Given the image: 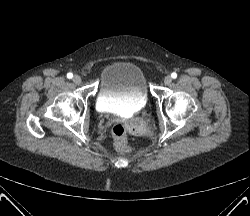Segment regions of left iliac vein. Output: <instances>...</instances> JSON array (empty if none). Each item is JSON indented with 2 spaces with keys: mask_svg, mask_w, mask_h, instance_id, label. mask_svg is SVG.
<instances>
[{
  "mask_svg": "<svg viewBox=\"0 0 250 216\" xmlns=\"http://www.w3.org/2000/svg\"><path fill=\"white\" fill-rule=\"evenodd\" d=\"M171 82H172L171 76H166V77L164 78V83H165V85H170Z\"/></svg>",
  "mask_w": 250,
  "mask_h": 216,
  "instance_id": "left-iliac-vein-1",
  "label": "left iliac vein"
}]
</instances>
